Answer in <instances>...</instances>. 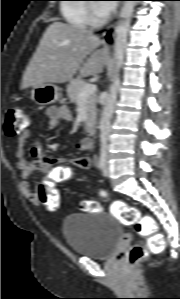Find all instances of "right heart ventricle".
I'll use <instances>...</instances> for the list:
<instances>
[{
  "label": "right heart ventricle",
  "instance_id": "1",
  "mask_svg": "<svg viewBox=\"0 0 180 299\" xmlns=\"http://www.w3.org/2000/svg\"><path fill=\"white\" fill-rule=\"evenodd\" d=\"M76 2L83 0H66ZM62 14L64 19L70 25L77 28H88L91 26L89 6L86 4L65 3L62 5Z\"/></svg>",
  "mask_w": 180,
  "mask_h": 299
}]
</instances>
